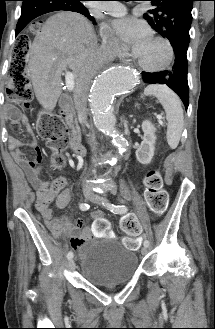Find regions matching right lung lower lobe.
Instances as JSON below:
<instances>
[{"instance_id":"obj_1","label":"right lung lower lobe","mask_w":215,"mask_h":329,"mask_svg":"<svg viewBox=\"0 0 215 329\" xmlns=\"http://www.w3.org/2000/svg\"><path fill=\"white\" fill-rule=\"evenodd\" d=\"M21 16L16 26L15 34L19 32L34 18L52 11L65 10L80 13L89 20L94 21L85 7H79L70 0H22Z\"/></svg>"}]
</instances>
